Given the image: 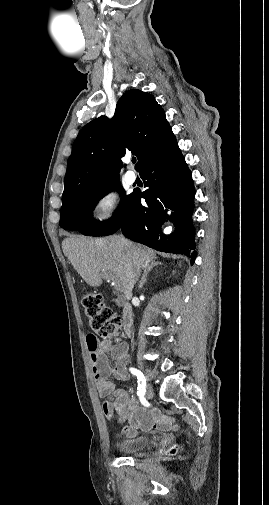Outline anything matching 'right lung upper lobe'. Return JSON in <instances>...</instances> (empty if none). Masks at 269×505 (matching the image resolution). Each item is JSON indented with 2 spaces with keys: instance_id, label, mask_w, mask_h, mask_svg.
I'll return each instance as SVG.
<instances>
[{
  "instance_id": "cb5924a9",
  "label": "right lung upper lobe",
  "mask_w": 269,
  "mask_h": 505,
  "mask_svg": "<svg viewBox=\"0 0 269 505\" xmlns=\"http://www.w3.org/2000/svg\"><path fill=\"white\" fill-rule=\"evenodd\" d=\"M175 142L165 112L154 96L136 89L127 91L112 119L101 116L81 129L67 163L62 202L119 180V159L126 153L137 156L136 170L140 171Z\"/></svg>"
}]
</instances>
